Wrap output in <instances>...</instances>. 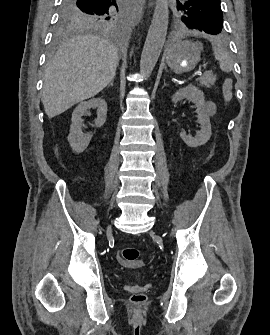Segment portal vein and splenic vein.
Wrapping results in <instances>:
<instances>
[{"mask_svg":"<svg viewBox=\"0 0 270 335\" xmlns=\"http://www.w3.org/2000/svg\"><path fill=\"white\" fill-rule=\"evenodd\" d=\"M205 66H206V63H203L202 68H205ZM196 74H198V76H200L201 72H196Z\"/></svg>","mask_w":270,"mask_h":335,"instance_id":"portal-vein-and-splenic-vein-1","label":"portal vein and splenic vein"}]
</instances>
